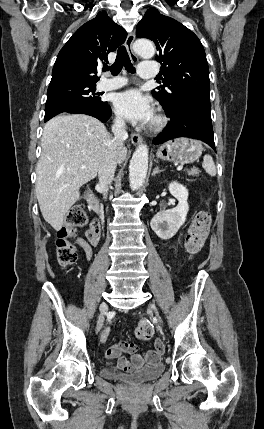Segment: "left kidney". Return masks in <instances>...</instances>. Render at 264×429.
<instances>
[{
  "mask_svg": "<svg viewBox=\"0 0 264 429\" xmlns=\"http://www.w3.org/2000/svg\"><path fill=\"white\" fill-rule=\"evenodd\" d=\"M173 197L178 200L176 208L158 212L151 220L152 230L163 240L172 238L185 223L189 210L188 190L178 182H171L168 186Z\"/></svg>",
  "mask_w": 264,
  "mask_h": 429,
  "instance_id": "1",
  "label": "left kidney"
}]
</instances>
